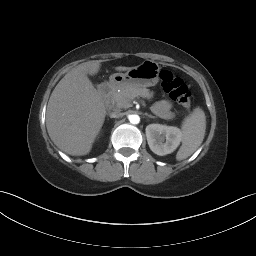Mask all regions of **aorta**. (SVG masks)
I'll list each match as a JSON object with an SVG mask.
<instances>
[{
    "label": "aorta",
    "instance_id": "762f6f07",
    "mask_svg": "<svg viewBox=\"0 0 256 256\" xmlns=\"http://www.w3.org/2000/svg\"><path fill=\"white\" fill-rule=\"evenodd\" d=\"M129 121L132 124H138L140 122V117L136 114H132L129 116Z\"/></svg>",
    "mask_w": 256,
    "mask_h": 256
}]
</instances>
